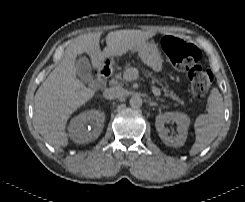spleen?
<instances>
[{
	"label": "spleen",
	"instance_id": "spleen-1",
	"mask_svg": "<svg viewBox=\"0 0 245 202\" xmlns=\"http://www.w3.org/2000/svg\"><path fill=\"white\" fill-rule=\"evenodd\" d=\"M208 113L196 118L194 129L196 140L190 150V155H195L205 149L219 134L223 119V97L217 89H213L208 98Z\"/></svg>",
	"mask_w": 245,
	"mask_h": 202
}]
</instances>
